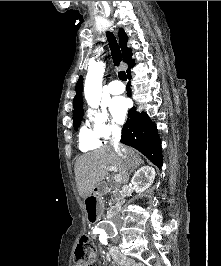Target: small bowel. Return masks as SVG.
Listing matches in <instances>:
<instances>
[{"label": "small bowel", "instance_id": "c3829d8e", "mask_svg": "<svg viewBox=\"0 0 221 266\" xmlns=\"http://www.w3.org/2000/svg\"><path fill=\"white\" fill-rule=\"evenodd\" d=\"M107 260H112L117 266H145L141 262H136L117 250H111L106 254Z\"/></svg>", "mask_w": 221, "mask_h": 266}]
</instances>
